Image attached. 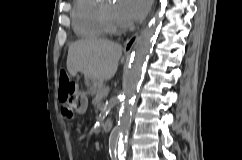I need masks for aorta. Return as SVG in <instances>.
Wrapping results in <instances>:
<instances>
[{
  "mask_svg": "<svg viewBox=\"0 0 242 160\" xmlns=\"http://www.w3.org/2000/svg\"><path fill=\"white\" fill-rule=\"evenodd\" d=\"M159 23L160 15L156 13L148 26L137 38L135 50L132 55V64L123 76V93L119 121L112 129L109 136V149H117L120 160H123L125 157L124 145L127 141L128 131L131 124V102L134 98L139 81L142 78L143 68Z\"/></svg>",
  "mask_w": 242,
  "mask_h": 160,
  "instance_id": "aorta-1",
  "label": "aorta"
}]
</instances>
